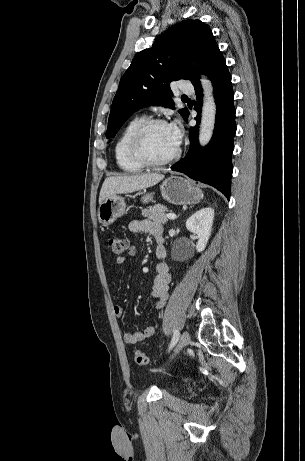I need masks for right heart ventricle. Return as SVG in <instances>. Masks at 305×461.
I'll return each mask as SVG.
<instances>
[{
	"label": "right heart ventricle",
	"instance_id": "obj_1",
	"mask_svg": "<svg viewBox=\"0 0 305 461\" xmlns=\"http://www.w3.org/2000/svg\"><path fill=\"white\" fill-rule=\"evenodd\" d=\"M144 121L143 116L131 119L121 131L114 147V156L118 167L125 172H139L143 167L134 162L128 153V143L131 135L140 123Z\"/></svg>",
	"mask_w": 305,
	"mask_h": 461
}]
</instances>
